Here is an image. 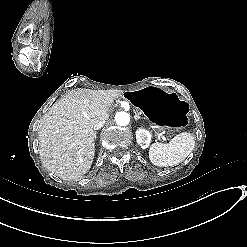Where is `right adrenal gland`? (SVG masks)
Listing matches in <instances>:
<instances>
[{
    "instance_id": "2a0ac1e0",
    "label": "right adrenal gland",
    "mask_w": 247,
    "mask_h": 247,
    "mask_svg": "<svg viewBox=\"0 0 247 247\" xmlns=\"http://www.w3.org/2000/svg\"><path fill=\"white\" fill-rule=\"evenodd\" d=\"M96 136H97V133L95 132V133H94V137L96 138Z\"/></svg>"
}]
</instances>
